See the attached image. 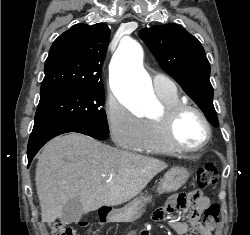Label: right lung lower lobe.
I'll list each match as a JSON object with an SVG mask.
<instances>
[{
  "label": "right lung lower lobe",
  "instance_id": "98d812e1",
  "mask_svg": "<svg viewBox=\"0 0 250 235\" xmlns=\"http://www.w3.org/2000/svg\"><path fill=\"white\" fill-rule=\"evenodd\" d=\"M67 132H78L96 139H107L109 137V132L107 131L70 120L42 119L35 121L27 147L28 166L46 142Z\"/></svg>",
  "mask_w": 250,
  "mask_h": 235
}]
</instances>
